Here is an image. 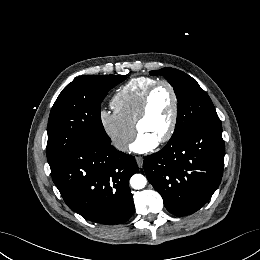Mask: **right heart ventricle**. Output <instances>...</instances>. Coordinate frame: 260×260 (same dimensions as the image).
I'll list each match as a JSON object with an SVG mask.
<instances>
[{"instance_id": "obj_1", "label": "right heart ventricle", "mask_w": 260, "mask_h": 260, "mask_svg": "<svg viewBox=\"0 0 260 260\" xmlns=\"http://www.w3.org/2000/svg\"><path fill=\"white\" fill-rule=\"evenodd\" d=\"M157 82L151 77H136L123 85L112 97L111 106L122 118L135 125L144 94Z\"/></svg>"}]
</instances>
